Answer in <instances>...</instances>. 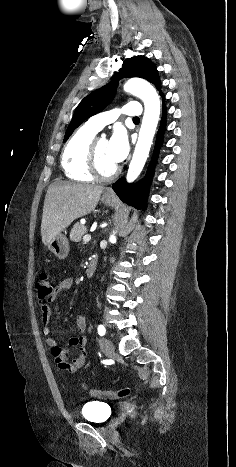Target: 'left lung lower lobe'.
<instances>
[{"label":"left lung lower lobe","instance_id":"obj_1","mask_svg":"<svg viewBox=\"0 0 236 467\" xmlns=\"http://www.w3.org/2000/svg\"><path fill=\"white\" fill-rule=\"evenodd\" d=\"M159 94L164 101L163 93L160 91ZM165 117H166V107L163 103V116L161 120L160 129L157 134L154 155L149 165L145 178L141 182L136 183L134 185H129L126 183L124 178H120L118 181H116V183L112 185L113 190L116 192V194L120 197V199L123 202L131 206H134L137 209H142V208L144 210L146 209V200H147L149 185L151 183V178L153 175L154 164L156 161L158 150L162 144V136L165 130Z\"/></svg>","mask_w":236,"mask_h":467}]
</instances>
